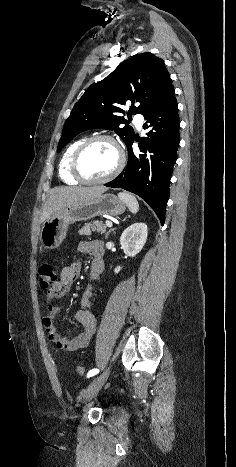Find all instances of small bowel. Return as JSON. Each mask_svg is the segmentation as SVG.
<instances>
[{
    "label": "small bowel",
    "mask_w": 236,
    "mask_h": 467,
    "mask_svg": "<svg viewBox=\"0 0 236 467\" xmlns=\"http://www.w3.org/2000/svg\"><path fill=\"white\" fill-rule=\"evenodd\" d=\"M78 253L81 256H90L91 277L96 278L103 270L104 248L100 241H83L78 245ZM82 270L80 260L74 261L69 266H65L60 274L59 281L47 292L46 314L43 317V324L49 341L65 352H72L86 347L94 335L96 320L89 310L90 298L92 296V286H88L81 301V307L76 312V319L82 325V331L73 339L61 336L54 325V318L59 312V306L49 301L54 298L65 297L72 289L73 283L79 278Z\"/></svg>",
    "instance_id": "obj_1"
}]
</instances>
